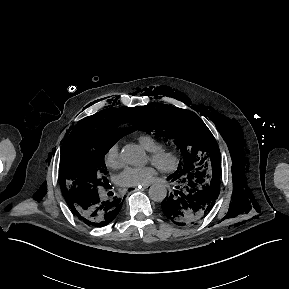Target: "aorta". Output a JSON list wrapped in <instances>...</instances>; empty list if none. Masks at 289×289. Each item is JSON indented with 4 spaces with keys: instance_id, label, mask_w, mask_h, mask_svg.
<instances>
[{
    "instance_id": "aorta-1",
    "label": "aorta",
    "mask_w": 289,
    "mask_h": 289,
    "mask_svg": "<svg viewBox=\"0 0 289 289\" xmlns=\"http://www.w3.org/2000/svg\"><path fill=\"white\" fill-rule=\"evenodd\" d=\"M122 160L132 166H142L146 163L145 151L136 144H128L121 151ZM149 197L155 202H162L167 195V189L162 184H153L149 188Z\"/></svg>"
}]
</instances>
